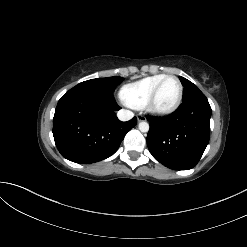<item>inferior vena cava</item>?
Returning <instances> with one entry per match:
<instances>
[{"mask_svg":"<svg viewBox=\"0 0 247 247\" xmlns=\"http://www.w3.org/2000/svg\"><path fill=\"white\" fill-rule=\"evenodd\" d=\"M117 117L121 121H128L134 117V113L130 110L121 109L118 111Z\"/></svg>","mask_w":247,"mask_h":247,"instance_id":"602c4592","label":"inferior vena cava"}]
</instances>
